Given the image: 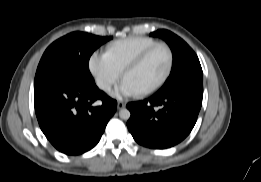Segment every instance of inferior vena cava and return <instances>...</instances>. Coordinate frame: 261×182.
Here are the masks:
<instances>
[{
  "mask_svg": "<svg viewBox=\"0 0 261 182\" xmlns=\"http://www.w3.org/2000/svg\"><path fill=\"white\" fill-rule=\"evenodd\" d=\"M103 88H104L105 90H108V89H110V85H109V84H105V85L103 86Z\"/></svg>",
  "mask_w": 261,
  "mask_h": 182,
  "instance_id": "inferior-vena-cava-1",
  "label": "inferior vena cava"
}]
</instances>
